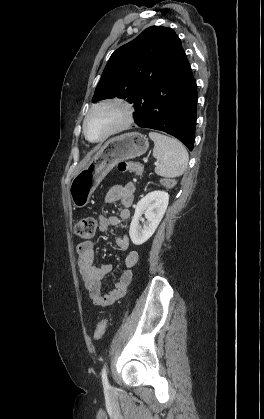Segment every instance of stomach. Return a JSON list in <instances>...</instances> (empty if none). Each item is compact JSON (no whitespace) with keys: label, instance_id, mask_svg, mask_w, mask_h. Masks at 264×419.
Masks as SVG:
<instances>
[{"label":"stomach","instance_id":"stomach-1","mask_svg":"<svg viewBox=\"0 0 264 419\" xmlns=\"http://www.w3.org/2000/svg\"><path fill=\"white\" fill-rule=\"evenodd\" d=\"M148 147V138L138 132L126 133L107 140L71 181L69 195L73 205L77 208L85 207L92 193L115 165L143 155Z\"/></svg>","mask_w":264,"mask_h":419}]
</instances>
